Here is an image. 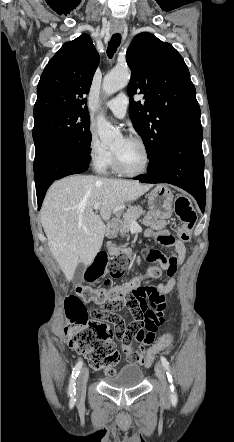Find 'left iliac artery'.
<instances>
[{
  "label": "left iliac artery",
  "mask_w": 234,
  "mask_h": 442,
  "mask_svg": "<svg viewBox=\"0 0 234 442\" xmlns=\"http://www.w3.org/2000/svg\"><path fill=\"white\" fill-rule=\"evenodd\" d=\"M161 362H162V365L164 366V368L167 371L168 380L171 383V387H170V398H171V401H172L173 404H176L177 403V393H176L175 387H174V385L172 383L173 379H172V375H171V372H170L169 362L163 356L161 357Z\"/></svg>",
  "instance_id": "obj_1"
}]
</instances>
